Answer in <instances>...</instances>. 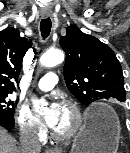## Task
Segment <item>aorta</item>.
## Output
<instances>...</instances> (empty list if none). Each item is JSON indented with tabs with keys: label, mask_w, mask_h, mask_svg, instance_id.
<instances>
[{
	"label": "aorta",
	"mask_w": 130,
	"mask_h": 153,
	"mask_svg": "<svg viewBox=\"0 0 130 153\" xmlns=\"http://www.w3.org/2000/svg\"><path fill=\"white\" fill-rule=\"evenodd\" d=\"M64 61V53L61 50H50L44 53L40 58V64L44 67H54ZM33 108L36 112H45L47 110V102L45 99H31Z\"/></svg>",
	"instance_id": "1"
}]
</instances>
